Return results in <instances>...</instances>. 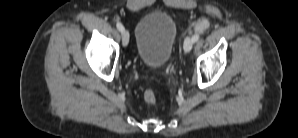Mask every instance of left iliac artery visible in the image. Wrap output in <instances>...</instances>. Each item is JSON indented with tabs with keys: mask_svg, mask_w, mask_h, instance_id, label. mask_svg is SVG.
<instances>
[{
	"mask_svg": "<svg viewBox=\"0 0 298 138\" xmlns=\"http://www.w3.org/2000/svg\"><path fill=\"white\" fill-rule=\"evenodd\" d=\"M199 36H200L199 33H195V34L193 35L194 40H195V41L198 40Z\"/></svg>",
	"mask_w": 298,
	"mask_h": 138,
	"instance_id": "left-iliac-artery-1",
	"label": "left iliac artery"
}]
</instances>
